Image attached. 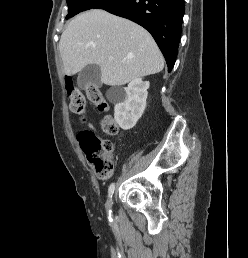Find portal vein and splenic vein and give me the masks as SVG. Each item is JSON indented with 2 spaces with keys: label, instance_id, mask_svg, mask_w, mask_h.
<instances>
[{
  "label": "portal vein and splenic vein",
  "instance_id": "obj_1",
  "mask_svg": "<svg viewBox=\"0 0 248 258\" xmlns=\"http://www.w3.org/2000/svg\"><path fill=\"white\" fill-rule=\"evenodd\" d=\"M109 60H113L114 58L112 57V56H109V58H108Z\"/></svg>",
  "mask_w": 248,
  "mask_h": 258
}]
</instances>
